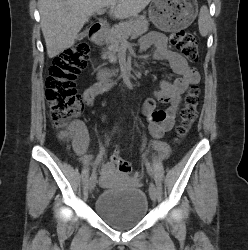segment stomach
Returning <instances> with one entry per match:
<instances>
[{"label": "stomach", "instance_id": "1", "mask_svg": "<svg viewBox=\"0 0 248 250\" xmlns=\"http://www.w3.org/2000/svg\"><path fill=\"white\" fill-rule=\"evenodd\" d=\"M197 14L196 0H152L148 13L150 21L165 32L187 28Z\"/></svg>", "mask_w": 248, "mask_h": 250}]
</instances>
